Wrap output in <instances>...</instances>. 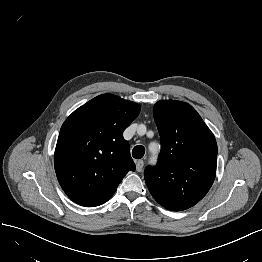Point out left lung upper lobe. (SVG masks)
I'll use <instances>...</instances> for the list:
<instances>
[{
	"label": "left lung upper lobe",
	"mask_w": 262,
	"mask_h": 262,
	"mask_svg": "<svg viewBox=\"0 0 262 262\" xmlns=\"http://www.w3.org/2000/svg\"><path fill=\"white\" fill-rule=\"evenodd\" d=\"M161 152L144 178L155 200L180 211L198 203L216 175L217 143L196 110L181 101L161 100L154 106Z\"/></svg>",
	"instance_id": "1"
}]
</instances>
